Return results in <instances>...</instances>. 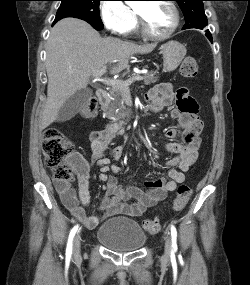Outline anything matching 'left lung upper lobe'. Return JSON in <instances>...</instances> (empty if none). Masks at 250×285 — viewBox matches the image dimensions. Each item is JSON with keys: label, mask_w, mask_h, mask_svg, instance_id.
Returning a JSON list of instances; mask_svg holds the SVG:
<instances>
[{"label": "left lung upper lobe", "mask_w": 250, "mask_h": 285, "mask_svg": "<svg viewBox=\"0 0 250 285\" xmlns=\"http://www.w3.org/2000/svg\"><path fill=\"white\" fill-rule=\"evenodd\" d=\"M179 4L186 24L184 29L197 28L204 30L208 24L207 17L204 12L203 1L205 0H175ZM209 31V30H206Z\"/></svg>", "instance_id": "left-lung-upper-lobe-1"}]
</instances>
